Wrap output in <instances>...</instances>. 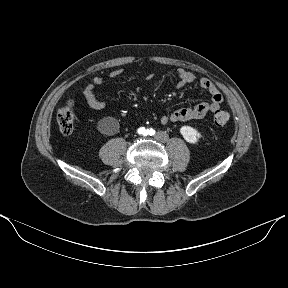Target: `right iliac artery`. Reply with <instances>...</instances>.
<instances>
[{
  "instance_id": "1",
  "label": "right iliac artery",
  "mask_w": 288,
  "mask_h": 288,
  "mask_svg": "<svg viewBox=\"0 0 288 288\" xmlns=\"http://www.w3.org/2000/svg\"><path fill=\"white\" fill-rule=\"evenodd\" d=\"M138 133H139V134H146V133L148 134V129L145 130L144 127H141V128H139Z\"/></svg>"
}]
</instances>
